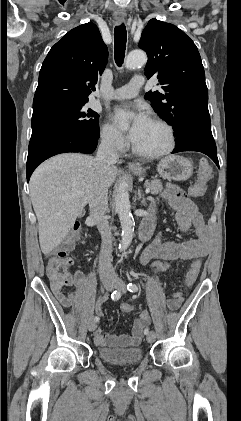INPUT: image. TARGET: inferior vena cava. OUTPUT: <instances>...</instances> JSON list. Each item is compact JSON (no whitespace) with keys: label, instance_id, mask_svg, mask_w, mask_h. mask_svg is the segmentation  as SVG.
<instances>
[{"label":"inferior vena cava","instance_id":"602c4592","mask_svg":"<svg viewBox=\"0 0 241 421\" xmlns=\"http://www.w3.org/2000/svg\"><path fill=\"white\" fill-rule=\"evenodd\" d=\"M118 154L110 139H103L98 147L95 158L100 174L118 162ZM90 218L97 224L102 237L99 257V274L101 278L113 277L114 271L111 265L112 236L105 214L108 210V188L104 180H101L89 201Z\"/></svg>","mask_w":241,"mask_h":421}]
</instances>
